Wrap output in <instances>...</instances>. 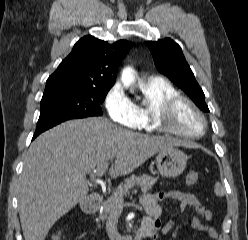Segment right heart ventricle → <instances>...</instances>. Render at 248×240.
Listing matches in <instances>:
<instances>
[{
	"instance_id": "1",
	"label": "right heart ventricle",
	"mask_w": 248,
	"mask_h": 240,
	"mask_svg": "<svg viewBox=\"0 0 248 240\" xmlns=\"http://www.w3.org/2000/svg\"><path fill=\"white\" fill-rule=\"evenodd\" d=\"M140 89L144 102L134 105L139 120L138 128L150 132L157 131L153 123L155 110L164 99L177 94L178 91L172 83L160 77H152L142 82Z\"/></svg>"
}]
</instances>
